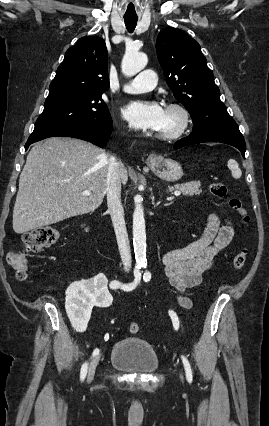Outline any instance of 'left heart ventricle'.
<instances>
[{
    "label": "left heart ventricle",
    "mask_w": 269,
    "mask_h": 426,
    "mask_svg": "<svg viewBox=\"0 0 269 426\" xmlns=\"http://www.w3.org/2000/svg\"><path fill=\"white\" fill-rule=\"evenodd\" d=\"M178 122H179V118L177 114L165 110V115H164L162 125L157 131L161 133V132H167V131L173 130L178 125Z\"/></svg>",
    "instance_id": "b2bd125f"
}]
</instances>
